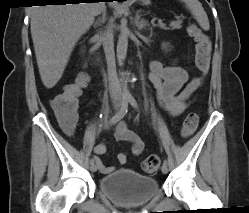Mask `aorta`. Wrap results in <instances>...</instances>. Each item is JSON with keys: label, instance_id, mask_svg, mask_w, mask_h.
Returning a JSON list of instances; mask_svg holds the SVG:
<instances>
[{"label": "aorta", "instance_id": "762f6f07", "mask_svg": "<svg viewBox=\"0 0 249 213\" xmlns=\"http://www.w3.org/2000/svg\"><path fill=\"white\" fill-rule=\"evenodd\" d=\"M127 48H128V35L125 29V25L123 24L121 33L118 37V43H117V59L120 65H123V62L126 58ZM122 95L123 97L130 96V93L127 89L126 84L122 85Z\"/></svg>", "mask_w": 249, "mask_h": 213}]
</instances>
